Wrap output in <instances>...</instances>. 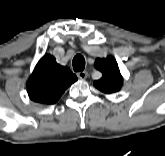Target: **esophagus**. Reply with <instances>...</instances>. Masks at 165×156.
Segmentation results:
<instances>
[{
  "instance_id": "1",
  "label": "esophagus",
  "mask_w": 165,
  "mask_h": 156,
  "mask_svg": "<svg viewBox=\"0 0 165 156\" xmlns=\"http://www.w3.org/2000/svg\"><path fill=\"white\" fill-rule=\"evenodd\" d=\"M87 76H88V73L86 71H79V72H77V77L79 79L84 80V79L87 78Z\"/></svg>"
}]
</instances>
